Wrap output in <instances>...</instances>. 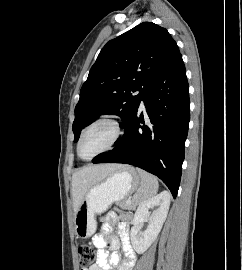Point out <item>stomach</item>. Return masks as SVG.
I'll use <instances>...</instances> for the list:
<instances>
[{
  "label": "stomach",
  "mask_w": 242,
  "mask_h": 270,
  "mask_svg": "<svg viewBox=\"0 0 242 270\" xmlns=\"http://www.w3.org/2000/svg\"><path fill=\"white\" fill-rule=\"evenodd\" d=\"M139 184L137 171L130 166H124L92 186L75 212L76 236L82 239L91 237L96 231V214L105 212L113 202L126 199L137 190Z\"/></svg>",
  "instance_id": "1"
}]
</instances>
